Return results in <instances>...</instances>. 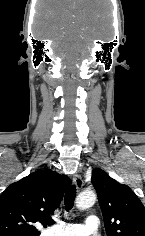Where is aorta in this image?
I'll return each instance as SVG.
<instances>
[{
    "mask_svg": "<svg viewBox=\"0 0 145 236\" xmlns=\"http://www.w3.org/2000/svg\"><path fill=\"white\" fill-rule=\"evenodd\" d=\"M96 194L93 191H84L76 199V206L80 210H85L94 205Z\"/></svg>",
    "mask_w": 145,
    "mask_h": 236,
    "instance_id": "1",
    "label": "aorta"
}]
</instances>
